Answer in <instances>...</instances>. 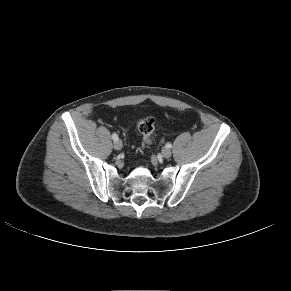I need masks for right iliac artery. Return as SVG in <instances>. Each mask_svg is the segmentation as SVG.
<instances>
[{
  "instance_id": "82829eb1",
  "label": "right iliac artery",
  "mask_w": 291,
  "mask_h": 291,
  "mask_svg": "<svg viewBox=\"0 0 291 291\" xmlns=\"http://www.w3.org/2000/svg\"><path fill=\"white\" fill-rule=\"evenodd\" d=\"M112 139H113L114 141L118 140V135H117L116 133H113V134H112Z\"/></svg>"
}]
</instances>
